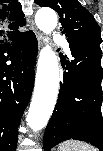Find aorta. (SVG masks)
Masks as SVG:
<instances>
[{
	"label": "aorta",
	"instance_id": "762f6f07",
	"mask_svg": "<svg viewBox=\"0 0 103 151\" xmlns=\"http://www.w3.org/2000/svg\"><path fill=\"white\" fill-rule=\"evenodd\" d=\"M37 27L50 34L57 26L58 19L54 10L42 8L35 15ZM59 91V66L55 52L46 45L40 52L34 93L26 117L33 131L44 128L52 115Z\"/></svg>",
	"mask_w": 103,
	"mask_h": 151
}]
</instances>
